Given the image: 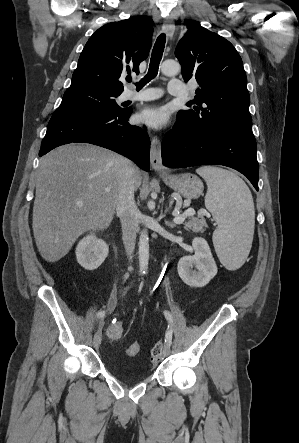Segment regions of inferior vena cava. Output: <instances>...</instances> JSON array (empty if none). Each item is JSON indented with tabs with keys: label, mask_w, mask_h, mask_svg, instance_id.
I'll return each instance as SVG.
<instances>
[{
	"label": "inferior vena cava",
	"mask_w": 299,
	"mask_h": 443,
	"mask_svg": "<svg viewBox=\"0 0 299 443\" xmlns=\"http://www.w3.org/2000/svg\"><path fill=\"white\" fill-rule=\"evenodd\" d=\"M136 188L135 168L129 165L123 170L116 198V211L121 221L122 239L129 258H132L135 249L138 229L139 210L134 199Z\"/></svg>",
	"instance_id": "602c4592"
}]
</instances>
